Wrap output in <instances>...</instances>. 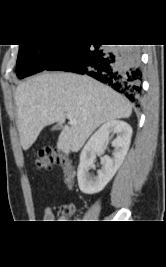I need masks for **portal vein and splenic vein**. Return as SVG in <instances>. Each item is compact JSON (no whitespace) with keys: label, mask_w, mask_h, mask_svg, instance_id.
Segmentation results:
<instances>
[{"label":"portal vein and splenic vein","mask_w":166,"mask_h":267,"mask_svg":"<svg viewBox=\"0 0 166 267\" xmlns=\"http://www.w3.org/2000/svg\"><path fill=\"white\" fill-rule=\"evenodd\" d=\"M67 119L69 120L70 124L76 125L77 121L71 114H66Z\"/></svg>","instance_id":"obj_1"}]
</instances>
